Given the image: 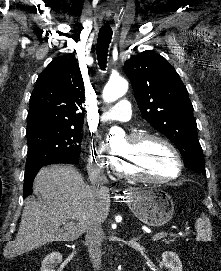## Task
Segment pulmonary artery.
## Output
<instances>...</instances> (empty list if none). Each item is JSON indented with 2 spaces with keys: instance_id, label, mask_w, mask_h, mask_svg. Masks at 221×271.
<instances>
[{
  "instance_id": "pulmonary-artery-1",
  "label": "pulmonary artery",
  "mask_w": 221,
  "mask_h": 271,
  "mask_svg": "<svg viewBox=\"0 0 221 271\" xmlns=\"http://www.w3.org/2000/svg\"><path fill=\"white\" fill-rule=\"evenodd\" d=\"M131 112L130 102H115V107H109V112L96 113V116L110 117V122H135Z\"/></svg>"
}]
</instances>
